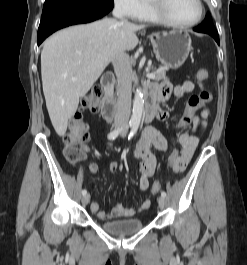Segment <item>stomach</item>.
Listing matches in <instances>:
<instances>
[{
  "label": "stomach",
  "instance_id": "1",
  "mask_svg": "<svg viewBox=\"0 0 247 265\" xmlns=\"http://www.w3.org/2000/svg\"><path fill=\"white\" fill-rule=\"evenodd\" d=\"M150 41L157 60L166 68L182 66L192 50L191 38L182 30L153 33Z\"/></svg>",
  "mask_w": 247,
  "mask_h": 265
}]
</instances>
